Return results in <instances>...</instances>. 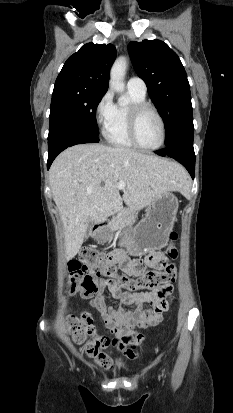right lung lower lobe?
I'll list each match as a JSON object with an SVG mask.
<instances>
[{"instance_id":"98d812e1","label":"right lung lower lobe","mask_w":233,"mask_h":413,"mask_svg":"<svg viewBox=\"0 0 233 413\" xmlns=\"http://www.w3.org/2000/svg\"><path fill=\"white\" fill-rule=\"evenodd\" d=\"M92 142H99V139L97 136L89 133L69 129H61L54 132L48 136L47 168L49 169L56 156L67 147Z\"/></svg>"}]
</instances>
